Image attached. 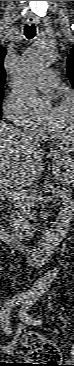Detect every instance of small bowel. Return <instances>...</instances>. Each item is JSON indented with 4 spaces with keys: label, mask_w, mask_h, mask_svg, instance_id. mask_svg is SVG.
Wrapping results in <instances>:
<instances>
[{
    "label": "small bowel",
    "mask_w": 74,
    "mask_h": 366,
    "mask_svg": "<svg viewBox=\"0 0 74 366\" xmlns=\"http://www.w3.org/2000/svg\"><path fill=\"white\" fill-rule=\"evenodd\" d=\"M54 277H55V273L53 271H50L46 274V276L44 278H42L41 283L44 284V285H48L54 280ZM11 349H12V346L7 347L6 351L10 352Z\"/></svg>",
    "instance_id": "small-bowel-1"
}]
</instances>
